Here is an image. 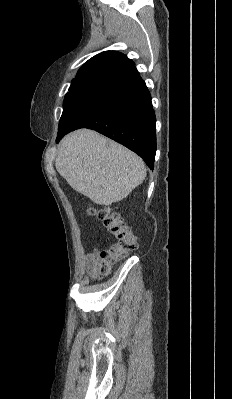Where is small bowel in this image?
<instances>
[{
	"label": "small bowel",
	"instance_id": "c3829d8e",
	"mask_svg": "<svg viewBox=\"0 0 232 399\" xmlns=\"http://www.w3.org/2000/svg\"><path fill=\"white\" fill-rule=\"evenodd\" d=\"M86 273L88 276H92L93 275V269H94V257L93 254H89L87 256V260H86Z\"/></svg>",
	"mask_w": 232,
	"mask_h": 399
}]
</instances>
